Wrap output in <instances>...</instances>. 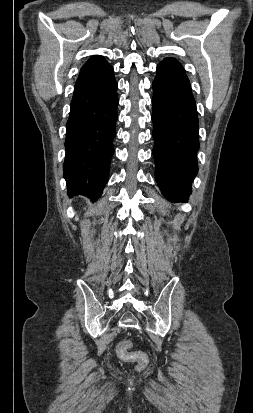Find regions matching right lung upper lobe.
Masks as SVG:
<instances>
[{"label":"right lung upper lobe","mask_w":253,"mask_h":413,"mask_svg":"<svg viewBox=\"0 0 253 413\" xmlns=\"http://www.w3.org/2000/svg\"><path fill=\"white\" fill-rule=\"evenodd\" d=\"M110 67L111 66L102 56L91 57L80 70L78 79L75 83L74 92L91 86Z\"/></svg>","instance_id":"cb5924a9"}]
</instances>
